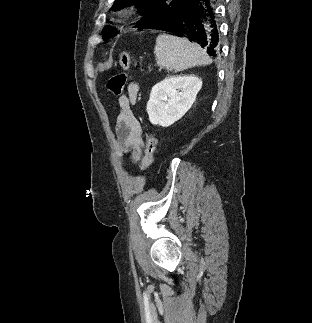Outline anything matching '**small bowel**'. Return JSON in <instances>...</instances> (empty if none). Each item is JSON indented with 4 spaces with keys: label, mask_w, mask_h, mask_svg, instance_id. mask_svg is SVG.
<instances>
[{
    "label": "small bowel",
    "mask_w": 312,
    "mask_h": 323,
    "mask_svg": "<svg viewBox=\"0 0 312 323\" xmlns=\"http://www.w3.org/2000/svg\"><path fill=\"white\" fill-rule=\"evenodd\" d=\"M138 91V84L131 82L127 87V92L118 98L119 113L114 141L116 156L122 158L125 154L130 153L134 163L141 160L144 147L142 127L134 111Z\"/></svg>",
    "instance_id": "obj_1"
}]
</instances>
